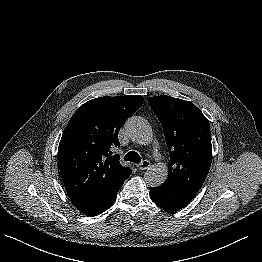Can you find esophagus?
<instances>
[{
  "mask_svg": "<svg viewBox=\"0 0 262 262\" xmlns=\"http://www.w3.org/2000/svg\"><path fill=\"white\" fill-rule=\"evenodd\" d=\"M150 165V161L143 160L140 164L137 165V168L140 170H146L149 169Z\"/></svg>",
  "mask_w": 262,
  "mask_h": 262,
  "instance_id": "34e87169",
  "label": "esophagus"
}]
</instances>
